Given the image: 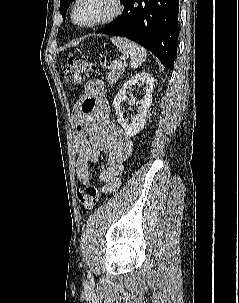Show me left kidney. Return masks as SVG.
I'll return each instance as SVG.
<instances>
[{
    "label": "left kidney",
    "mask_w": 239,
    "mask_h": 303,
    "mask_svg": "<svg viewBox=\"0 0 239 303\" xmlns=\"http://www.w3.org/2000/svg\"><path fill=\"white\" fill-rule=\"evenodd\" d=\"M145 84V95L143 99L139 102L140 107L138 113L132 118V123L128 124L123 118V113L120 110L122 101H124L126 96V90L135 84ZM154 79L152 75L146 72L138 73L131 79H129L119 90L113 101V106L116 110L117 120L125 133L128 136L136 135L145 125L149 107L152 103V91H153ZM130 104L135 103V99L129 100Z\"/></svg>",
    "instance_id": "obj_1"
}]
</instances>
